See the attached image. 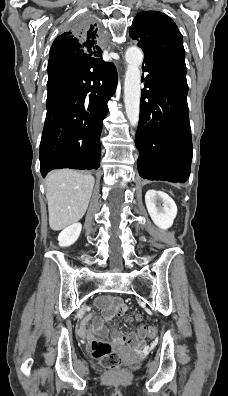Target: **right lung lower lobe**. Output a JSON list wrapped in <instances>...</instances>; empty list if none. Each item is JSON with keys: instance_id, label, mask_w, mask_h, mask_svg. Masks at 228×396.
Masks as SVG:
<instances>
[{"instance_id": "obj_1", "label": "right lung lower lobe", "mask_w": 228, "mask_h": 396, "mask_svg": "<svg viewBox=\"0 0 228 396\" xmlns=\"http://www.w3.org/2000/svg\"><path fill=\"white\" fill-rule=\"evenodd\" d=\"M56 63L62 67L61 73L47 83V114L40 142L43 177L57 168L98 169L107 102L117 85L116 67L102 59Z\"/></svg>"}]
</instances>
